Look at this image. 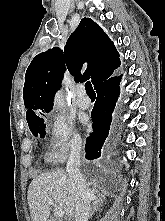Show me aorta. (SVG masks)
I'll list each match as a JSON object with an SVG mask.
<instances>
[{
    "instance_id": "762f6f07",
    "label": "aorta",
    "mask_w": 165,
    "mask_h": 221,
    "mask_svg": "<svg viewBox=\"0 0 165 221\" xmlns=\"http://www.w3.org/2000/svg\"><path fill=\"white\" fill-rule=\"evenodd\" d=\"M55 106L60 110L64 108V100L61 93H58L55 97Z\"/></svg>"
}]
</instances>
